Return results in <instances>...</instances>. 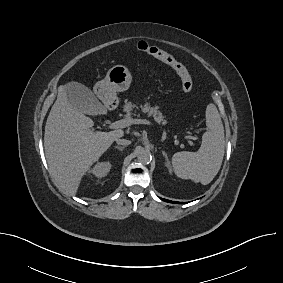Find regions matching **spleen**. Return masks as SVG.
I'll use <instances>...</instances> for the list:
<instances>
[{
	"instance_id": "obj_1",
	"label": "spleen",
	"mask_w": 283,
	"mask_h": 283,
	"mask_svg": "<svg viewBox=\"0 0 283 283\" xmlns=\"http://www.w3.org/2000/svg\"><path fill=\"white\" fill-rule=\"evenodd\" d=\"M207 131L197 152H177L172 157V165L177 177L191 179L203 185L209 184L221 168L224 157V127L214 104L206 108Z\"/></svg>"
}]
</instances>
